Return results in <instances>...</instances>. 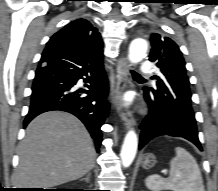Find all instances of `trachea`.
Wrapping results in <instances>:
<instances>
[{"instance_id": "trachea-1", "label": "trachea", "mask_w": 218, "mask_h": 191, "mask_svg": "<svg viewBox=\"0 0 218 191\" xmlns=\"http://www.w3.org/2000/svg\"><path fill=\"white\" fill-rule=\"evenodd\" d=\"M131 73L134 77H137V78H142L138 73H136L135 71L131 70Z\"/></svg>"}]
</instances>
